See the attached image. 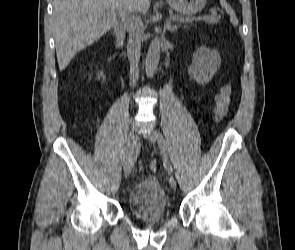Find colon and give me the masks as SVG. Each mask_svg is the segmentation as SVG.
<instances>
[{"label":"colon","mask_w":295,"mask_h":250,"mask_svg":"<svg viewBox=\"0 0 295 250\" xmlns=\"http://www.w3.org/2000/svg\"><path fill=\"white\" fill-rule=\"evenodd\" d=\"M231 99V89L229 86H225L221 89L220 93L216 97L215 114L218 119L226 116ZM152 171L157 168V162L153 161L150 166Z\"/></svg>","instance_id":"colon-1"}]
</instances>
